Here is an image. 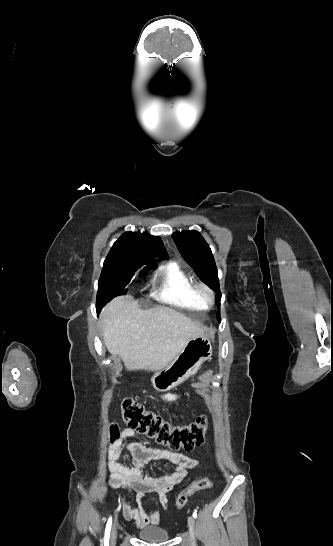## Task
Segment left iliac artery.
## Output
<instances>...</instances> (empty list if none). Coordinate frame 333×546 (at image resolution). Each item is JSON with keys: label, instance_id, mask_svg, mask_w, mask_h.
<instances>
[{"label": "left iliac artery", "instance_id": "1", "mask_svg": "<svg viewBox=\"0 0 333 546\" xmlns=\"http://www.w3.org/2000/svg\"><path fill=\"white\" fill-rule=\"evenodd\" d=\"M193 517H194V518H197V513H196V511L193 512Z\"/></svg>", "mask_w": 333, "mask_h": 546}]
</instances>
